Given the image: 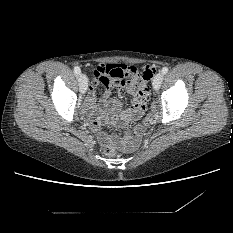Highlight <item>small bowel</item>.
Returning a JSON list of instances; mask_svg holds the SVG:
<instances>
[{"label": "small bowel", "instance_id": "obj_1", "mask_svg": "<svg viewBox=\"0 0 233 233\" xmlns=\"http://www.w3.org/2000/svg\"><path fill=\"white\" fill-rule=\"evenodd\" d=\"M126 65L120 63H104L100 62L93 73V85L89 88L88 97L85 103L87 113L93 118L91 122L92 132L95 134L100 145L105 146L112 142H119L126 144L129 148H135L138 145L139 138L146 125L144 123V115L146 109V102H137L135 100L136 94L139 90L145 89L147 80L136 79L131 82H126L121 74L125 71ZM138 69V68H136ZM103 84L105 86L104 93L101 99L100 108L96 103V85ZM118 88V98L111 96V89ZM125 89L130 95L134 97L132 106L128 109H122V90ZM110 113L107 120L113 123L122 124L130 120L139 121L140 125L133 128L128 136L117 137L105 133L100 128V121L104 118V112Z\"/></svg>", "mask_w": 233, "mask_h": 233}]
</instances>
